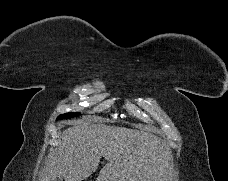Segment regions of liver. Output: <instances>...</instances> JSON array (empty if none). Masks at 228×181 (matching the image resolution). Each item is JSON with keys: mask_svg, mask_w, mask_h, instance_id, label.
Masks as SVG:
<instances>
[{"mask_svg": "<svg viewBox=\"0 0 228 181\" xmlns=\"http://www.w3.org/2000/svg\"><path fill=\"white\" fill-rule=\"evenodd\" d=\"M105 123L99 117L63 131L40 181H55L59 175L65 181H86L101 157L108 161L99 173L101 181H171L172 153L160 137Z\"/></svg>", "mask_w": 228, "mask_h": 181, "instance_id": "obj_1", "label": "liver"}]
</instances>
